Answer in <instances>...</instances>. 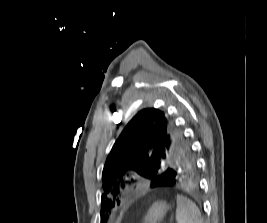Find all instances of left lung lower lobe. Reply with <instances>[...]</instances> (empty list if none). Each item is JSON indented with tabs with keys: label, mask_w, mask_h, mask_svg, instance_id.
Masks as SVG:
<instances>
[{
	"label": "left lung lower lobe",
	"mask_w": 267,
	"mask_h": 223,
	"mask_svg": "<svg viewBox=\"0 0 267 223\" xmlns=\"http://www.w3.org/2000/svg\"><path fill=\"white\" fill-rule=\"evenodd\" d=\"M199 171H165L164 173H153L151 192H162L163 194H180L181 190L196 189L195 176Z\"/></svg>",
	"instance_id": "obj_1"
}]
</instances>
